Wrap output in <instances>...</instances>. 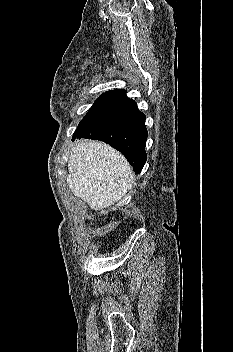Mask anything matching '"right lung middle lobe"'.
I'll return each instance as SVG.
<instances>
[{
  "label": "right lung middle lobe",
  "mask_w": 233,
  "mask_h": 352,
  "mask_svg": "<svg viewBox=\"0 0 233 352\" xmlns=\"http://www.w3.org/2000/svg\"><path fill=\"white\" fill-rule=\"evenodd\" d=\"M128 99L125 90H111L102 94L89 109L86 116L81 120L75 132L93 121L99 115L109 110L113 106Z\"/></svg>",
  "instance_id": "right-lung-middle-lobe-1"
}]
</instances>
